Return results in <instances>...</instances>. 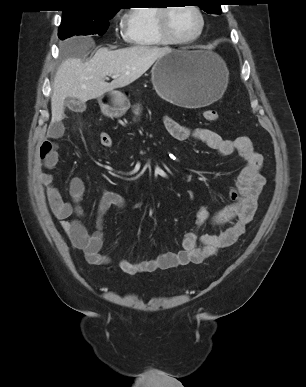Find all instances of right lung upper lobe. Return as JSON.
Instances as JSON below:
<instances>
[{
	"mask_svg": "<svg viewBox=\"0 0 306 387\" xmlns=\"http://www.w3.org/2000/svg\"><path fill=\"white\" fill-rule=\"evenodd\" d=\"M117 0H67L63 14H94L119 10Z\"/></svg>",
	"mask_w": 306,
	"mask_h": 387,
	"instance_id": "obj_1",
	"label": "right lung upper lobe"
}]
</instances>
